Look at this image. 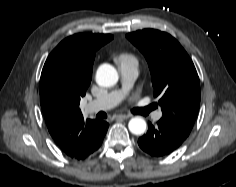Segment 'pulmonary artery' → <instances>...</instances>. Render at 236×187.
<instances>
[{"label":"pulmonary artery","mask_w":236,"mask_h":187,"mask_svg":"<svg viewBox=\"0 0 236 187\" xmlns=\"http://www.w3.org/2000/svg\"><path fill=\"white\" fill-rule=\"evenodd\" d=\"M120 73L122 78V88L111 91L102 97L94 99L87 103L85 111L89 114L111 109L116 106L125 96L126 91L132 86L138 76V69L136 65L124 64L120 66ZM162 116L160 111L156 112L154 118L159 120Z\"/></svg>","instance_id":"pulmonary-artery-1"}]
</instances>
